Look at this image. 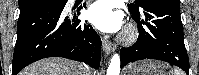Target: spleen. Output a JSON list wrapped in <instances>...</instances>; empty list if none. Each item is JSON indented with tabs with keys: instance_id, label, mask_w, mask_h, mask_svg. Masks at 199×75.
Returning a JSON list of instances; mask_svg holds the SVG:
<instances>
[{
	"instance_id": "3e777b00",
	"label": "spleen",
	"mask_w": 199,
	"mask_h": 75,
	"mask_svg": "<svg viewBox=\"0 0 199 75\" xmlns=\"http://www.w3.org/2000/svg\"><path fill=\"white\" fill-rule=\"evenodd\" d=\"M174 74L175 75H181L182 73H180L177 69L174 70Z\"/></svg>"
}]
</instances>
